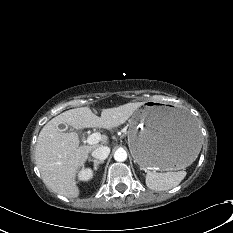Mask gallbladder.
Wrapping results in <instances>:
<instances>
[{"mask_svg":"<svg viewBox=\"0 0 233 233\" xmlns=\"http://www.w3.org/2000/svg\"><path fill=\"white\" fill-rule=\"evenodd\" d=\"M59 128H60L61 130H66V129L68 128V126H67L66 124H60V125H59Z\"/></svg>","mask_w":233,"mask_h":233,"instance_id":"gallbladder-1","label":"gallbladder"}]
</instances>
